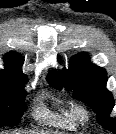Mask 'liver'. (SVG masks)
Wrapping results in <instances>:
<instances>
[{
    "label": "liver",
    "instance_id": "liver-1",
    "mask_svg": "<svg viewBox=\"0 0 116 134\" xmlns=\"http://www.w3.org/2000/svg\"><path fill=\"white\" fill-rule=\"evenodd\" d=\"M28 134H42V133L31 132V133H28Z\"/></svg>",
    "mask_w": 116,
    "mask_h": 134
}]
</instances>
